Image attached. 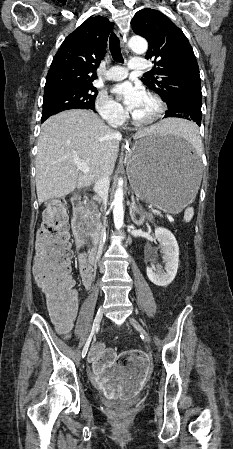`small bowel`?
<instances>
[{
	"label": "small bowel",
	"mask_w": 233,
	"mask_h": 449,
	"mask_svg": "<svg viewBox=\"0 0 233 449\" xmlns=\"http://www.w3.org/2000/svg\"><path fill=\"white\" fill-rule=\"evenodd\" d=\"M94 275L92 272H79L78 279L86 288H90ZM76 310V308H75ZM75 310L66 320H58V330L68 336ZM127 356H132L133 363H116L117 354L103 344L95 345L89 360L93 369V378L101 384L103 399H134L137 390L143 389V377H149V356L139 354L138 347H127Z\"/></svg>",
	"instance_id": "c3829d8e"
}]
</instances>
